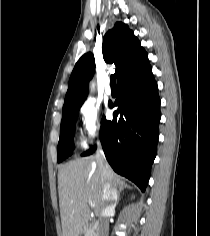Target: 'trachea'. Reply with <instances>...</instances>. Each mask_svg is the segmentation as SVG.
Listing matches in <instances>:
<instances>
[{"instance_id":"obj_1","label":"trachea","mask_w":210,"mask_h":236,"mask_svg":"<svg viewBox=\"0 0 210 236\" xmlns=\"http://www.w3.org/2000/svg\"><path fill=\"white\" fill-rule=\"evenodd\" d=\"M110 84H111L112 88H116V76H115V74H112L110 76Z\"/></svg>"}]
</instances>
